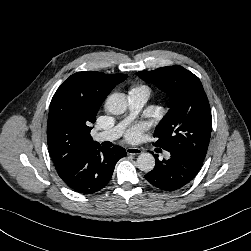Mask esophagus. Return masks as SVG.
<instances>
[{"label":"esophagus","mask_w":251,"mask_h":251,"mask_svg":"<svg viewBox=\"0 0 251 251\" xmlns=\"http://www.w3.org/2000/svg\"><path fill=\"white\" fill-rule=\"evenodd\" d=\"M126 152L129 155H139L142 153V150L140 148H136V147H129L126 149Z\"/></svg>","instance_id":"34e87169"}]
</instances>
